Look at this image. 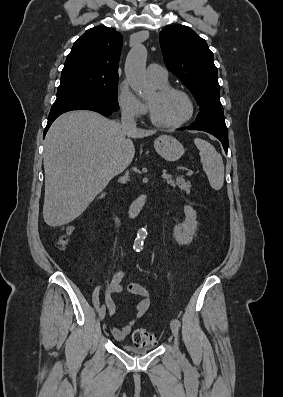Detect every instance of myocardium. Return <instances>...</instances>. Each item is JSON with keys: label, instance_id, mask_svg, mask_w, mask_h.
<instances>
[{"label": "myocardium", "instance_id": "f54148a6", "mask_svg": "<svg viewBox=\"0 0 283 397\" xmlns=\"http://www.w3.org/2000/svg\"><path fill=\"white\" fill-rule=\"evenodd\" d=\"M171 93H180L187 99V101L189 103V107H190L189 113L184 119H182L180 121L173 122V123H165V122L160 121L157 118L153 105L148 101L147 107H148L150 121L152 122L153 125H155L159 128L173 129V128L181 127L182 125L189 122L192 119V117L194 116L195 103H194L192 97L190 96V94L187 91H185L184 89L167 85L165 87L157 89V91H156V95H157L158 99L164 98L165 96H167Z\"/></svg>", "mask_w": 283, "mask_h": 397}]
</instances>
